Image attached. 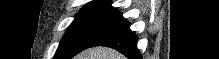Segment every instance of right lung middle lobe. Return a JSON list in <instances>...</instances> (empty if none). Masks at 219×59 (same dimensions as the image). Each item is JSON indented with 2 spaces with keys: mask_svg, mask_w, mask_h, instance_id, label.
<instances>
[{
  "mask_svg": "<svg viewBox=\"0 0 219 59\" xmlns=\"http://www.w3.org/2000/svg\"><path fill=\"white\" fill-rule=\"evenodd\" d=\"M124 22L116 10L78 13L62 38L54 59H71Z\"/></svg>",
  "mask_w": 219,
  "mask_h": 59,
  "instance_id": "dd1d6c3e",
  "label": "right lung middle lobe"
}]
</instances>
